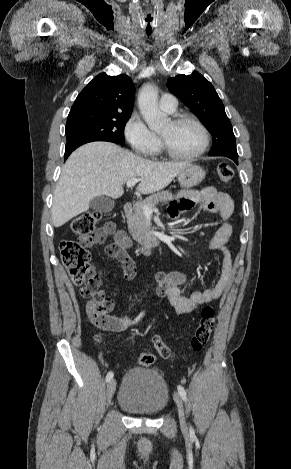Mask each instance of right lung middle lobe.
Here are the masks:
<instances>
[{
  "instance_id": "dd1d6c3e",
  "label": "right lung middle lobe",
  "mask_w": 291,
  "mask_h": 469,
  "mask_svg": "<svg viewBox=\"0 0 291 469\" xmlns=\"http://www.w3.org/2000/svg\"><path fill=\"white\" fill-rule=\"evenodd\" d=\"M131 114L100 111L69 113L65 134L68 141L77 139H107L124 143V127Z\"/></svg>"
}]
</instances>
